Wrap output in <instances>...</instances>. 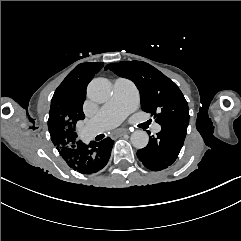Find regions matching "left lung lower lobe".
Here are the masks:
<instances>
[{
  "mask_svg": "<svg viewBox=\"0 0 241 241\" xmlns=\"http://www.w3.org/2000/svg\"><path fill=\"white\" fill-rule=\"evenodd\" d=\"M188 123L168 122L161 125L157 137H150L148 145L137 151L138 159L153 171L167 168L177 159L183 146Z\"/></svg>",
  "mask_w": 241,
  "mask_h": 241,
  "instance_id": "left-lung-lower-lobe-1",
  "label": "left lung lower lobe"
}]
</instances>
